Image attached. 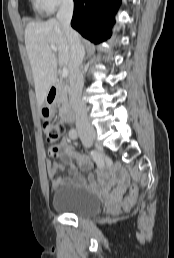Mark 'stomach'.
<instances>
[{"mask_svg": "<svg viewBox=\"0 0 174 258\" xmlns=\"http://www.w3.org/2000/svg\"><path fill=\"white\" fill-rule=\"evenodd\" d=\"M39 112L43 119H51L55 115V106L46 100Z\"/></svg>", "mask_w": 174, "mask_h": 258, "instance_id": "1", "label": "stomach"}]
</instances>
